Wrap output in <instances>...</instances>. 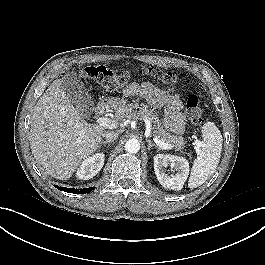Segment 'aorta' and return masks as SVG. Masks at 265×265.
Masks as SVG:
<instances>
[{
    "instance_id": "aorta-1",
    "label": "aorta",
    "mask_w": 265,
    "mask_h": 265,
    "mask_svg": "<svg viewBox=\"0 0 265 265\" xmlns=\"http://www.w3.org/2000/svg\"><path fill=\"white\" fill-rule=\"evenodd\" d=\"M125 150L128 153H137L140 150V143L137 139H129L125 143Z\"/></svg>"
}]
</instances>
